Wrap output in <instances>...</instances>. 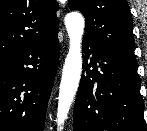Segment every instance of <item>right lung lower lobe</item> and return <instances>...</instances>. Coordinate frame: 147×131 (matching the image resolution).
<instances>
[{
    "mask_svg": "<svg viewBox=\"0 0 147 131\" xmlns=\"http://www.w3.org/2000/svg\"><path fill=\"white\" fill-rule=\"evenodd\" d=\"M57 34L0 58V131H43L58 68Z\"/></svg>",
    "mask_w": 147,
    "mask_h": 131,
    "instance_id": "1",
    "label": "right lung lower lobe"
}]
</instances>
